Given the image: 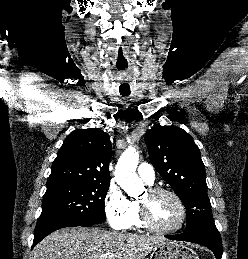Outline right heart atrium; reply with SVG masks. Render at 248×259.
<instances>
[{
  "label": "right heart atrium",
  "instance_id": "obj_1",
  "mask_svg": "<svg viewBox=\"0 0 248 259\" xmlns=\"http://www.w3.org/2000/svg\"><path fill=\"white\" fill-rule=\"evenodd\" d=\"M104 210L110 226L116 230L128 226L131 201L116 185H111L104 199Z\"/></svg>",
  "mask_w": 248,
  "mask_h": 259
}]
</instances>
